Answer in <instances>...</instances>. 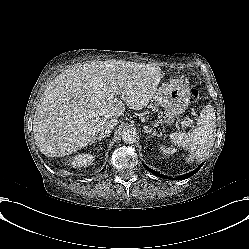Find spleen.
I'll return each mask as SVG.
<instances>
[{
	"instance_id": "spleen-1",
	"label": "spleen",
	"mask_w": 249,
	"mask_h": 249,
	"mask_svg": "<svg viewBox=\"0 0 249 249\" xmlns=\"http://www.w3.org/2000/svg\"><path fill=\"white\" fill-rule=\"evenodd\" d=\"M171 142L189 150L193 157L202 160L213 146L215 139V123L205 110L201 113L197 126L188 134H172Z\"/></svg>"
}]
</instances>
